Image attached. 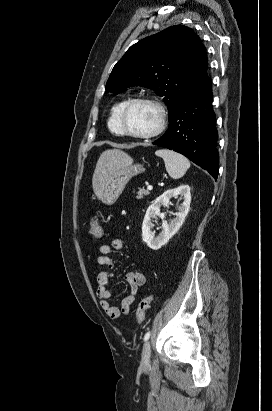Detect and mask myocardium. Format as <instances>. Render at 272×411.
<instances>
[{"mask_svg": "<svg viewBox=\"0 0 272 411\" xmlns=\"http://www.w3.org/2000/svg\"><path fill=\"white\" fill-rule=\"evenodd\" d=\"M137 103H143V104L150 105L157 111L158 122H157L156 127L150 132L137 134V133L130 132L125 127V123H124L125 115L128 109L132 105L137 104ZM118 122H119L122 135L128 136L133 139H138V140H148V139H152V138L159 136L165 130L166 123H167V114H166V111L163 105L159 101L153 98H149V97H135V98L128 99L125 102V104L123 105V107L121 108L119 112Z\"/></svg>", "mask_w": 272, "mask_h": 411, "instance_id": "myocardium-1", "label": "myocardium"}]
</instances>
